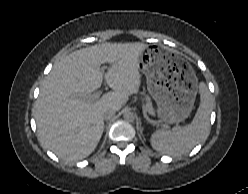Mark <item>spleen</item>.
<instances>
[{
	"instance_id": "3e777b00",
	"label": "spleen",
	"mask_w": 248,
	"mask_h": 194,
	"mask_svg": "<svg viewBox=\"0 0 248 194\" xmlns=\"http://www.w3.org/2000/svg\"><path fill=\"white\" fill-rule=\"evenodd\" d=\"M200 105L193 121L183 127L172 130H158L150 138L156 151L171 156L188 153L209 134V119L213 108V97L205 83L199 85Z\"/></svg>"
}]
</instances>
